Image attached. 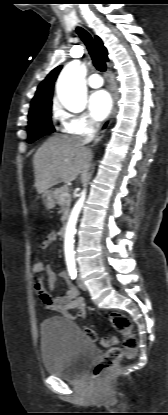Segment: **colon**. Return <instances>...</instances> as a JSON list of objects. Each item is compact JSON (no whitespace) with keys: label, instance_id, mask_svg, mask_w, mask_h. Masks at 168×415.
<instances>
[{"label":"colon","instance_id":"5ec220e1","mask_svg":"<svg viewBox=\"0 0 168 415\" xmlns=\"http://www.w3.org/2000/svg\"><path fill=\"white\" fill-rule=\"evenodd\" d=\"M45 261L36 259L33 265L29 267L32 274L33 283H42L44 281ZM110 322L115 330L123 335L122 347L115 346V338H99L96 332L85 327L83 329L84 336L90 341H99L103 346H109L108 350L102 355L98 363L93 367L91 377L95 380L99 379L105 371L115 366L124 356H131L135 353L138 343L132 333V324L130 319L121 313H111Z\"/></svg>","mask_w":168,"mask_h":415}]
</instances>
